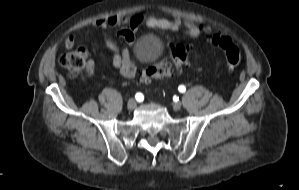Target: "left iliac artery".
Masks as SVG:
<instances>
[{"instance_id":"44dca946","label":"left iliac artery","mask_w":299,"mask_h":190,"mask_svg":"<svg viewBox=\"0 0 299 190\" xmlns=\"http://www.w3.org/2000/svg\"><path fill=\"white\" fill-rule=\"evenodd\" d=\"M178 90H179L181 93H183V92L186 91V88H185L184 85H180V86L178 87Z\"/></svg>"}]
</instances>
